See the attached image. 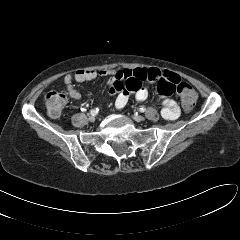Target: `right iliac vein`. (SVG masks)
Segmentation results:
<instances>
[{"instance_id":"1","label":"right iliac vein","mask_w":240,"mask_h":240,"mask_svg":"<svg viewBox=\"0 0 240 240\" xmlns=\"http://www.w3.org/2000/svg\"><path fill=\"white\" fill-rule=\"evenodd\" d=\"M88 119H89L90 122H94L95 121V115H92V114L89 115Z\"/></svg>"}]
</instances>
